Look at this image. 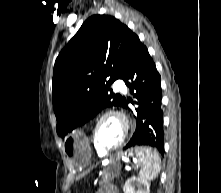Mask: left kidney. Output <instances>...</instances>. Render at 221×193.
Masks as SVG:
<instances>
[{
	"mask_svg": "<svg viewBox=\"0 0 221 193\" xmlns=\"http://www.w3.org/2000/svg\"><path fill=\"white\" fill-rule=\"evenodd\" d=\"M135 187L138 189L136 190ZM124 193H150V184L141 178L131 177L129 178L124 186Z\"/></svg>",
	"mask_w": 221,
	"mask_h": 193,
	"instance_id": "obj_1",
	"label": "left kidney"
}]
</instances>
